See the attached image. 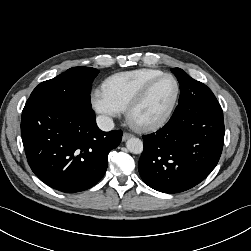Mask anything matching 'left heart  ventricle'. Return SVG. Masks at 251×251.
<instances>
[{
    "mask_svg": "<svg viewBox=\"0 0 251 251\" xmlns=\"http://www.w3.org/2000/svg\"><path fill=\"white\" fill-rule=\"evenodd\" d=\"M175 94V83L171 78H163L150 90L143 104L136 110L139 121H151L160 117L170 105Z\"/></svg>",
    "mask_w": 251,
    "mask_h": 251,
    "instance_id": "left-heart-ventricle-1",
    "label": "left heart ventricle"
}]
</instances>
